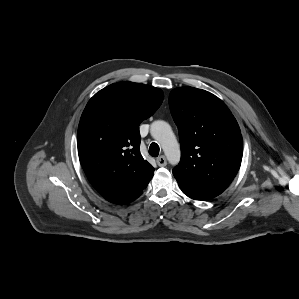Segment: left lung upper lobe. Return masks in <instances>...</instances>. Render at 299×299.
<instances>
[{"mask_svg": "<svg viewBox=\"0 0 299 299\" xmlns=\"http://www.w3.org/2000/svg\"><path fill=\"white\" fill-rule=\"evenodd\" d=\"M169 105L181 145V161L173 169L180 188L203 199L220 195L242 160L236 119L218 97L192 87L173 89Z\"/></svg>", "mask_w": 299, "mask_h": 299, "instance_id": "5c2ea615", "label": "left lung upper lobe"}]
</instances>
